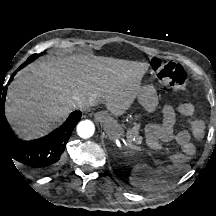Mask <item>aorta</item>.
<instances>
[{"instance_id":"762f6f07","label":"aorta","mask_w":216,"mask_h":216,"mask_svg":"<svg viewBox=\"0 0 216 216\" xmlns=\"http://www.w3.org/2000/svg\"><path fill=\"white\" fill-rule=\"evenodd\" d=\"M106 125L112 126L114 128H117L116 122L111 118L105 119ZM95 132V126L92 121L90 120H84L78 123L77 125V133L81 138H89L91 137Z\"/></svg>"}]
</instances>
